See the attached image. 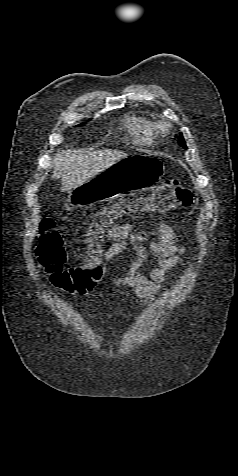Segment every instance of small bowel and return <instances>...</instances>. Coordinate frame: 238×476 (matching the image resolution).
Listing matches in <instances>:
<instances>
[{
    "label": "small bowel",
    "instance_id": "1",
    "mask_svg": "<svg viewBox=\"0 0 238 476\" xmlns=\"http://www.w3.org/2000/svg\"><path fill=\"white\" fill-rule=\"evenodd\" d=\"M107 238L113 240L111 246L104 253V258L100 260L103 275L110 274L109 261L132 247L136 258L123 273L114 275L109 283L112 286H127L134 291L133 299L141 304H147L154 300L155 296L162 292V284L166 273L182 264V254L185 249L177 243L175 231L167 224L161 222L158 226L157 238L148 239L143 230L137 229L134 225L126 223L110 228L106 233ZM148 241V247L143 242ZM148 253L153 256L155 267L146 276L148 264ZM90 290H84L78 294H86Z\"/></svg>",
    "mask_w": 238,
    "mask_h": 476
}]
</instances>
